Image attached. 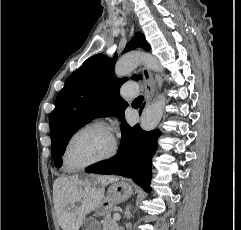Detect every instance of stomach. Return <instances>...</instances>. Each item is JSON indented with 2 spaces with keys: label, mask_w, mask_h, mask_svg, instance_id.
<instances>
[{
  "label": "stomach",
  "mask_w": 241,
  "mask_h": 230,
  "mask_svg": "<svg viewBox=\"0 0 241 230\" xmlns=\"http://www.w3.org/2000/svg\"><path fill=\"white\" fill-rule=\"evenodd\" d=\"M133 193L129 183L124 180L113 182L95 209V215L105 216L115 205L128 199ZM78 230H100V225L94 221L85 220Z\"/></svg>",
  "instance_id": "0dacf381"
}]
</instances>
